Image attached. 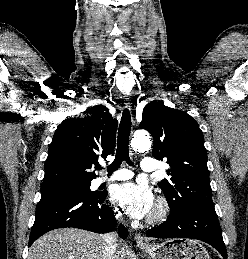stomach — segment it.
<instances>
[{
	"instance_id": "0dacf381",
	"label": "stomach",
	"mask_w": 248,
	"mask_h": 259,
	"mask_svg": "<svg viewBox=\"0 0 248 259\" xmlns=\"http://www.w3.org/2000/svg\"><path fill=\"white\" fill-rule=\"evenodd\" d=\"M150 259H210L207 250L197 241L171 239L161 244L140 245Z\"/></svg>"
}]
</instances>
